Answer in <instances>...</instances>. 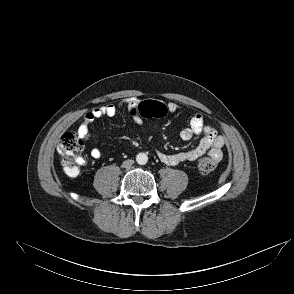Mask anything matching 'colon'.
<instances>
[{"mask_svg": "<svg viewBox=\"0 0 294 294\" xmlns=\"http://www.w3.org/2000/svg\"><path fill=\"white\" fill-rule=\"evenodd\" d=\"M129 111L132 116L143 118H160L167 113L165 105L155 100L142 101L132 106ZM57 150L62 158L64 172L70 177L77 176L78 165L82 162L80 154L83 150V141L79 135L75 132L65 133L59 141ZM216 166L217 161L211 156L203 157L197 163L199 173L204 176L211 174Z\"/></svg>", "mask_w": 294, "mask_h": 294, "instance_id": "obj_1", "label": "colon"}]
</instances>
